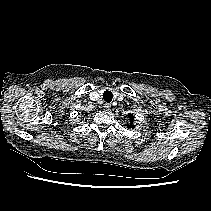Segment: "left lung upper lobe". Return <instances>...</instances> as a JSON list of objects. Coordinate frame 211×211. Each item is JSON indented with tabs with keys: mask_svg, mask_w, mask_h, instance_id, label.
<instances>
[{
	"mask_svg": "<svg viewBox=\"0 0 211 211\" xmlns=\"http://www.w3.org/2000/svg\"><path fill=\"white\" fill-rule=\"evenodd\" d=\"M128 116H129V118H130V122H133V120H134L133 115L129 114ZM130 124H131V123H130ZM129 127H130V126H129ZM132 127H133V126H132Z\"/></svg>",
	"mask_w": 211,
	"mask_h": 211,
	"instance_id": "5c2ea615",
	"label": "left lung upper lobe"
}]
</instances>
